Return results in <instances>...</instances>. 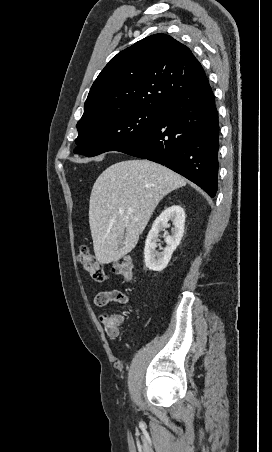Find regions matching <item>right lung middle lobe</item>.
I'll return each instance as SVG.
<instances>
[{
  "label": "right lung middle lobe",
  "instance_id": "1",
  "mask_svg": "<svg viewBox=\"0 0 272 452\" xmlns=\"http://www.w3.org/2000/svg\"><path fill=\"white\" fill-rule=\"evenodd\" d=\"M162 109L136 107L78 122L74 153L93 157L125 147L142 136L157 121Z\"/></svg>",
  "mask_w": 272,
  "mask_h": 452
}]
</instances>
